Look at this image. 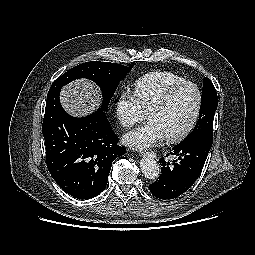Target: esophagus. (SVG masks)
<instances>
[{
    "label": "esophagus",
    "mask_w": 255,
    "mask_h": 255,
    "mask_svg": "<svg viewBox=\"0 0 255 255\" xmlns=\"http://www.w3.org/2000/svg\"><path fill=\"white\" fill-rule=\"evenodd\" d=\"M140 156H150V157H153L155 158L156 157V154L154 152H146V151H142L140 152Z\"/></svg>",
    "instance_id": "obj_1"
}]
</instances>
